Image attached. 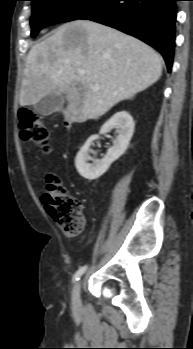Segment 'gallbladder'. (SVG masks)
Masks as SVG:
<instances>
[{
    "mask_svg": "<svg viewBox=\"0 0 193 349\" xmlns=\"http://www.w3.org/2000/svg\"><path fill=\"white\" fill-rule=\"evenodd\" d=\"M64 101L65 97L63 94H53L43 97L33 105V108L38 114L49 116L53 112L60 110L63 107Z\"/></svg>",
    "mask_w": 193,
    "mask_h": 349,
    "instance_id": "1",
    "label": "gallbladder"
}]
</instances>
